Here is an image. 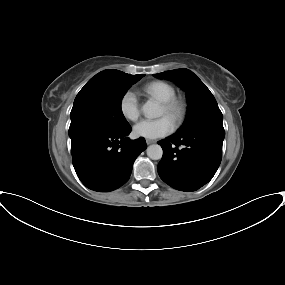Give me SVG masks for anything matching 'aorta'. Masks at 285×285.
<instances>
[{"mask_svg":"<svg viewBox=\"0 0 285 285\" xmlns=\"http://www.w3.org/2000/svg\"><path fill=\"white\" fill-rule=\"evenodd\" d=\"M142 111L147 118H157L161 116V109L158 103L148 100L142 107ZM147 156L152 160L162 158L163 150L160 145L153 144L147 147Z\"/></svg>","mask_w":285,"mask_h":285,"instance_id":"obj_1","label":"aorta"}]
</instances>
